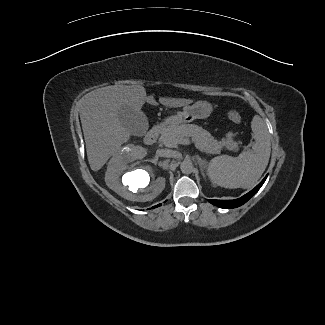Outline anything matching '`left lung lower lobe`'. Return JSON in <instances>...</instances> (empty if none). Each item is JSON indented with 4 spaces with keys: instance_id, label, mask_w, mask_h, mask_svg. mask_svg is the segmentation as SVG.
Wrapping results in <instances>:
<instances>
[{
    "instance_id": "left-lung-lower-lobe-1",
    "label": "left lung lower lobe",
    "mask_w": 325,
    "mask_h": 325,
    "mask_svg": "<svg viewBox=\"0 0 325 325\" xmlns=\"http://www.w3.org/2000/svg\"><path fill=\"white\" fill-rule=\"evenodd\" d=\"M266 178H267V175L253 190H251L250 192H248L241 198L234 199V200H213L212 199V200H208V201L218 207L225 208V209L239 207V206L243 205L244 203H246L261 188V186L265 182Z\"/></svg>"
}]
</instances>
